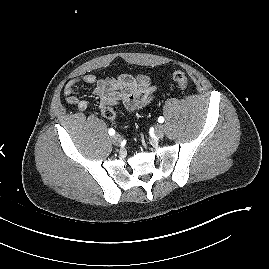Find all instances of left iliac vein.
<instances>
[{
    "instance_id": "left-iliac-vein-1",
    "label": "left iliac vein",
    "mask_w": 269,
    "mask_h": 269,
    "mask_svg": "<svg viewBox=\"0 0 269 269\" xmlns=\"http://www.w3.org/2000/svg\"><path fill=\"white\" fill-rule=\"evenodd\" d=\"M164 133H165V128L163 125L159 124L156 126L155 128V135L157 138H163L164 136Z\"/></svg>"
}]
</instances>
